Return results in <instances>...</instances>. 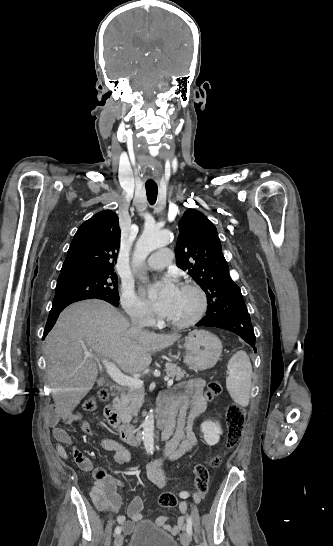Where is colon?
<instances>
[{
    "label": "colon",
    "instance_id": "5ec220e1",
    "mask_svg": "<svg viewBox=\"0 0 333 546\" xmlns=\"http://www.w3.org/2000/svg\"><path fill=\"white\" fill-rule=\"evenodd\" d=\"M222 392V386L218 381H212L208 384L204 393L206 401H211ZM109 392L106 389H101L96 396L87 398L83 403V408L86 411H92L97 406V401H107ZM245 422V412L243 408L232 403L229 405L226 412L227 435L225 441V450L234 448L242 434ZM223 460V453L215 454L210 457L205 465L199 464L194 468L196 499L202 500L208 491L209 484V468H218ZM178 503L177 497L172 492L162 493L159 497L161 507L170 509L174 508Z\"/></svg>",
    "mask_w": 333,
    "mask_h": 546
}]
</instances>
